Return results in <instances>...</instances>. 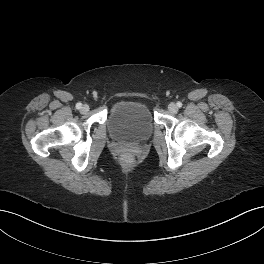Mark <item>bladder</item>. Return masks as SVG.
<instances>
[{
    "label": "bladder",
    "mask_w": 264,
    "mask_h": 264,
    "mask_svg": "<svg viewBox=\"0 0 264 264\" xmlns=\"http://www.w3.org/2000/svg\"><path fill=\"white\" fill-rule=\"evenodd\" d=\"M107 126L114 140L129 145L147 141L154 131V121L147 106L130 100L119 101L112 106Z\"/></svg>",
    "instance_id": "bladder-1"
}]
</instances>
